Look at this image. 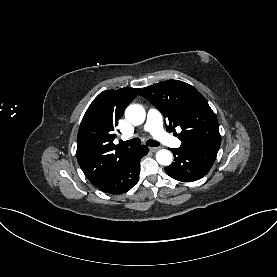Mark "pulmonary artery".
<instances>
[{
	"instance_id": "1",
	"label": "pulmonary artery",
	"mask_w": 277,
	"mask_h": 277,
	"mask_svg": "<svg viewBox=\"0 0 277 277\" xmlns=\"http://www.w3.org/2000/svg\"><path fill=\"white\" fill-rule=\"evenodd\" d=\"M145 130L149 131L154 138L170 147H180L181 141L163 130L161 115L156 109H150L147 114Z\"/></svg>"
}]
</instances>
